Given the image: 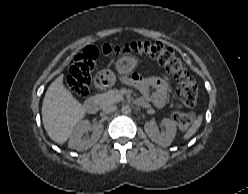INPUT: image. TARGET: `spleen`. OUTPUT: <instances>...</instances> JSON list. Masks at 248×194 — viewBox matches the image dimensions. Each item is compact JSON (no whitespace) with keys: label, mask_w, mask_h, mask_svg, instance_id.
<instances>
[{"label":"spleen","mask_w":248,"mask_h":194,"mask_svg":"<svg viewBox=\"0 0 248 194\" xmlns=\"http://www.w3.org/2000/svg\"><path fill=\"white\" fill-rule=\"evenodd\" d=\"M202 122V115H200L193 123V125L189 128V130L184 135V139L187 140L192 137L195 132L198 130Z\"/></svg>","instance_id":"spleen-1"}]
</instances>
